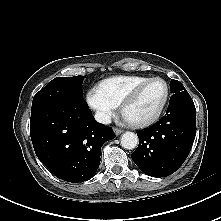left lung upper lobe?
I'll return each mask as SVG.
<instances>
[{
  "label": "left lung upper lobe",
  "mask_w": 221,
  "mask_h": 221,
  "mask_svg": "<svg viewBox=\"0 0 221 221\" xmlns=\"http://www.w3.org/2000/svg\"><path fill=\"white\" fill-rule=\"evenodd\" d=\"M170 89L173 93V95L170 98V103H174L190 97L185 87L177 80L171 79Z\"/></svg>",
  "instance_id": "left-lung-upper-lobe-1"
}]
</instances>
